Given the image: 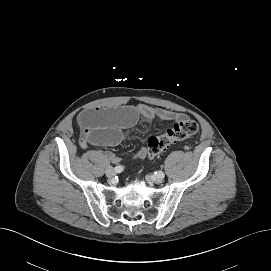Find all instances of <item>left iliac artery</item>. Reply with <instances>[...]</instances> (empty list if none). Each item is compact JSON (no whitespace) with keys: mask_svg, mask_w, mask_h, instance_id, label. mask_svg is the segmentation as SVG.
<instances>
[{"mask_svg":"<svg viewBox=\"0 0 271 271\" xmlns=\"http://www.w3.org/2000/svg\"><path fill=\"white\" fill-rule=\"evenodd\" d=\"M157 176L164 178L165 174L162 171H158Z\"/></svg>","mask_w":271,"mask_h":271,"instance_id":"left-iliac-artery-1","label":"left iliac artery"}]
</instances>
